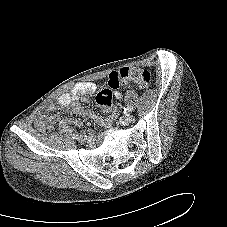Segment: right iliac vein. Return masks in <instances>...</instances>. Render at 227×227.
Listing matches in <instances>:
<instances>
[{
	"instance_id": "1",
	"label": "right iliac vein",
	"mask_w": 227,
	"mask_h": 227,
	"mask_svg": "<svg viewBox=\"0 0 227 227\" xmlns=\"http://www.w3.org/2000/svg\"><path fill=\"white\" fill-rule=\"evenodd\" d=\"M77 140L81 143L85 142L86 138L83 135L78 136Z\"/></svg>"
}]
</instances>
